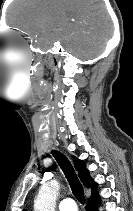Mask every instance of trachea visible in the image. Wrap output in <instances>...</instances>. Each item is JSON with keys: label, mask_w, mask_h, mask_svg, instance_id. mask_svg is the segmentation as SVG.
<instances>
[{"label": "trachea", "mask_w": 133, "mask_h": 211, "mask_svg": "<svg viewBox=\"0 0 133 211\" xmlns=\"http://www.w3.org/2000/svg\"><path fill=\"white\" fill-rule=\"evenodd\" d=\"M53 156L57 160L59 166L61 167L62 171L67 178L69 185L72 189V193L77 198L80 203H85L84 191L83 187L77 177V174L70 163V161L59 151H52Z\"/></svg>", "instance_id": "3493384b"}]
</instances>
